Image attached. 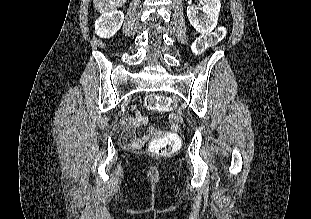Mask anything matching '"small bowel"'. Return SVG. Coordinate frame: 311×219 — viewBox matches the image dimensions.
<instances>
[{"label":"small bowel","mask_w":311,"mask_h":219,"mask_svg":"<svg viewBox=\"0 0 311 219\" xmlns=\"http://www.w3.org/2000/svg\"><path fill=\"white\" fill-rule=\"evenodd\" d=\"M144 123H146V118L142 116L141 114H136L134 118H131L128 120V125H129L128 128L130 129V131H132V129ZM171 128L173 130H177V126L175 124H173ZM125 139L128 143L133 139V136L130 133L128 136L125 137Z\"/></svg>","instance_id":"small-bowel-1"}]
</instances>
